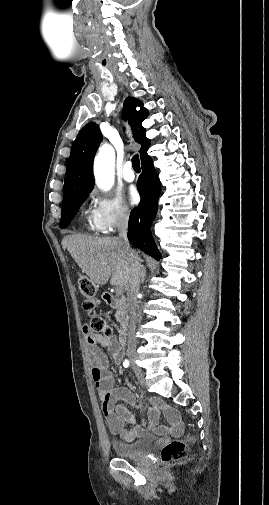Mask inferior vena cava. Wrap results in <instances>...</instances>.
Masks as SVG:
<instances>
[{
  "label": "inferior vena cava",
  "mask_w": 269,
  "mask_h": 505,
  "mask_svg": "<svg viewBox=\"0 0 269 505\" xmlns=\"http://www.w3.org/2000/svg\"><path fill=\"white\" fill-rule=\"evenodd\" d=\"M127 229H128V216L126 214H121L118 220V232H119L118 239L121 242L123 249L126 251L128 255L131 270V275L127 286V302L130 316V323L128 326V334H127V347L128 351H134L136 349L137 344L135 337V328L137 320L136 310L138 306L136 295L139 290V283L143 272V266L140 263V258L137 252H135L130 247L127 237Z\"/></svg>",
  "instance_id": "obj_1"
}]
</instances>
